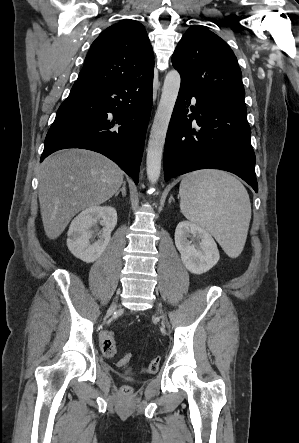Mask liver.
<instances>
[{"instance_id": "obj_1", "label": "liver", "mask_w": 299, "mask_h": 443, "mask_svg": "<svg viewBox=\"0 0 299 443\" xmlns=\"http://www.w3.org/2000/svg\"><path fill=\"white\" fill-rule=\"evenodd\" d=\"M124 172L105 156L67 149L39 167V202L44 231L56 239L81 210L109 200L123 183Z\"/></svg>"}]
</instances>
